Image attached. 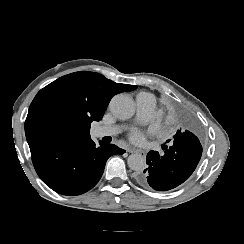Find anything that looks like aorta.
I'll return each instance as SVG.
<instances>
[{
	"label": "aorta",
	"instance_id": "1",
	"mask_svg": "<svg viewBox=\"0 0 244 244\" xmlns=\"http://www.w3.org/2000/svg\"><path fill=\"white\" fill-rule=\"evenodd\" d=\"M111 113L121 120H126L134 115L135 109L133 101L125 95H116L110 101ZM127 164L134 171H143L146 167V159L141 154H131L127 159Z\"/></svg>",
	"mask_w": 244,
	"mask_h": 244
}]
</instances>
